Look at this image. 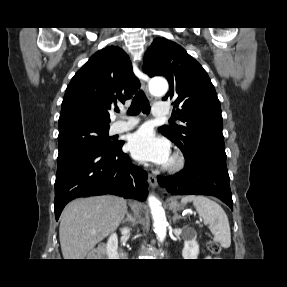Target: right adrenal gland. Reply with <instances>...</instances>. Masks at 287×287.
Here are the masks:
<instances>
[{
  "mask_svg": "<svg viewBox=\"0 0 287 287\" xmlns=\"http://www.w3.org/2000/svg\"><path fill=\"white\" fill-rule=\"evenodd\" d=\"M125 222H130L132 223V226L134 227L136 225V220L135 218L132 216V214H130L128 211L126 212V218L123 220V223Z\"/></svg>",
  "mask_w": 287,
  "mask_h": 287,
  "instance_id": "obj_1",
  "label": "right adrenal gland"
}]
</instances>
